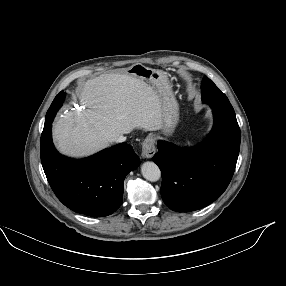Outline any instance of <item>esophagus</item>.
<instances>
[{"label": "esophagus", "instance_id": "obj_1", "mask_svg": "<svg viewBox=\"0 0 286 286\" xmlns=\"http://www.w3.org/2000/svg\"><path fill=\"white\" fill-rule=\"evenodd\" d=\"M156 153V147L152 136H147L142 143L141 155L143 158L150 159Z\"/></svg>", "mask_w": 286, "mask_h": 286}]
</instances>
